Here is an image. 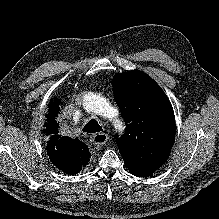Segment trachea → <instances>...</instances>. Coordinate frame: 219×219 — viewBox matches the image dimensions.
I'll return each instance as SVG.
<instances>
[{"label": "trachea", "mask_w": 219, "mask_h": 219, "mask_svg": "<svg viewBox=\"0 0 219 219\" xmlns=\"http://www.w3.org/2000/svg\"><path fill=\"white\" fill-rule=\"evenodd\" d=\"M83 132L87 133H96L103 131V128L100 126L96 119H91L82 129Z\"/></svg>", "instance_id": "3493384b"}]
</instances>
